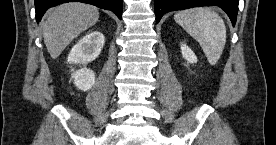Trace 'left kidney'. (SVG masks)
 <instances>
[{"instance_id":"left-kidney-1","label":"left kidney","mask_w":276,"mask_h":145,"mask_svg":"<svg viewBox=\"0 0 276 145\" xmlns=\"http://www.w3.org/2000/svg\"><path fill=\"white\" fill-rule=\"evenodd\" d=\"M181 53L183 58L188 62V63H196L197 62V57L195 53L186 45V44H181Z\"/></svg>"}]
</instances>
